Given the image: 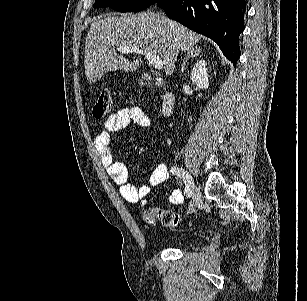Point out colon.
I'll use <instances>...</instances> for the list:
<instances>
[{
	"label": "colon",
	"instance_id": "obj_1",
	"mask_svg": "<svg viewBox=\"0 0 307 301\" xmlns=\"http://www.w3.org/2000/svg\"><path fill=\"white\" fill-rule=\"evenodd\" d=\"M112 101L109 91L103 90L93 107V115L95 118L101 119L107 116L111 110ZM144 220L149 224L160 223L166 227H175L178 225L179 216L167 209H161L157 207L146 208L143 212Z\"/></svg>",
	"mask_w": 307,
	"mask_h": 301
}]
</instances>
